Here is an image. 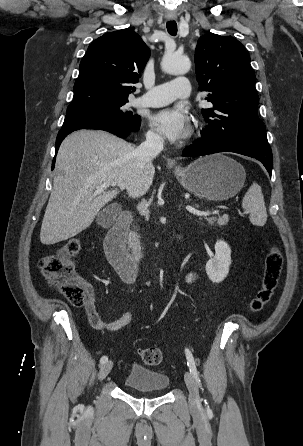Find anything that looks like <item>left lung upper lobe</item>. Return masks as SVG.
Segmentation results:
<instances>
[{
  "label": "left lung upper lobe",
  "instance_id": "left-lung-upper-lobe-1",
  "mask_svg": "<svg viewBox=\"0 0 303 446\" xmlns=\"http://www.w3.org/2000/svg\"><path fill=\"white\" fill-rule=\"evenodd\" d=\"M196 78L212 108L202 109L208 122L203 139L240 141L269 146L259 119L255 74L243 45L232 36L208 33L195 50Z\"/></svg>",
  "mask_w": 303,
  "mask_h": 446
}]
</instances>
